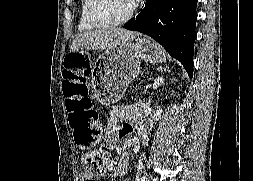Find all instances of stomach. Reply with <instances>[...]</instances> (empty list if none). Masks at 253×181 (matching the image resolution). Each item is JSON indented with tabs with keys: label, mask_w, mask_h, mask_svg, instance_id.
<instances>
[{
	"label": "stomach",
	"mask_w": 253,
	"mask_h": 181,
	"mask_svg": "<svg viewBox=\"0 0 253 181\" xmlns=\"http://www.w3.org/2000/svg\"><path fill=\"white\" fill-rule=\"evenodd\" d=\"M141 60L160 63L165 60V52L144 36L106 49L94 66L92 86L97 100L104 105L117 102L139 74Z\"/></svg>",
	"instance_id": "0dacf381"
}]
</instances>
